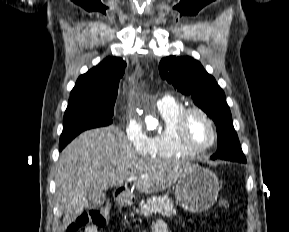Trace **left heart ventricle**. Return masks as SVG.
Masks as SVG:
<instances>
[{"instance_id": "left-heart-ventricle-1", "label": "left heart ventricle", "mask_w": 289, "mask_h": 232, "mask_svg": "<svg viewBox=\"0 0 289 232\" xmlns=\"http://www.w3.org/2000/svg\"><path fill=\"white\" fill-rule=\"evenodd\" d=\"M212 137V132L207 121L199 114H192L187 121V138L197 146L207 144Z\"/></svg>"}]
</instances>
